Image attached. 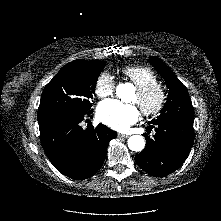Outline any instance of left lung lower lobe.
<instances>
[{
	"label": "left lung lower lobe",
	"mask_w": 221,
	"mask_h": 221,
	"mask_svg": "<svg viewBox=\"0 0 221 221\" xmlns=\"http://www.w3.org/2000/svg\"><path fill=\"white\" fill-rule=\"evenodd\" d=\"M154 125V138L144 135L145 149L135 160L147 173L163 177L176 171L188 157L194 138L193 121L164 120Z\"/></svg>",
	"instance_id": "left-lung-lower-lobe-1"
}]
</instances>
